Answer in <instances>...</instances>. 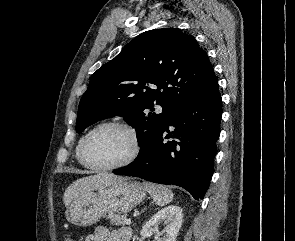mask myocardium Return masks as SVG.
Masks as SVG:
<instances>
[{
    "label": "myocardium",
    "mask_w": 295,
    "mask_h": 241,
    "mask_svg": "<svg viewBox=\"0 0 295 241\" xmlns=\"http://www.w3.org/2000/svg\"><path fill=\"white\" fill-rule=\"evenodd\" d=\"M110 127L121 128L129 134L132 141V150L130 154L127 156V158H125L124 160L116 164H112V165L93 164L87 159V156H86L87 145L95 133ZM140 151H141V140H140L139 134L137 133L136 129L133 126L122 121H108V122H104L97 125L86 134L80 146L79 159H80V162L89 169L96 170V171H112V170H117L125 166H128L129 164L134 162L136 158L138 157V155L140 154Z\"/></svg>",
    "instance_id": "myocardium-1"
}]
</instances>
